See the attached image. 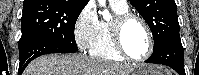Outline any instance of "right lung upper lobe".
I'll use <instances>...</instances> for the list:
<instances>
[{"mask_svg": "<svg viewBox=\"0 0 199 75\" xmlns=\"http://www.w3.org/2000/svg\"><path fill=\"white\" fill-rule=\"evenodd\" d=\"M89 0H24V5H29V4H34V5H39V6H44L48 5L51 3H63V4H68L72 6H86Z\"/></svg>", "mask_w": 199, "mask_h": 75, "instance_id": "obj_1", "label": "right lung upper lobe"}]
</instances>
